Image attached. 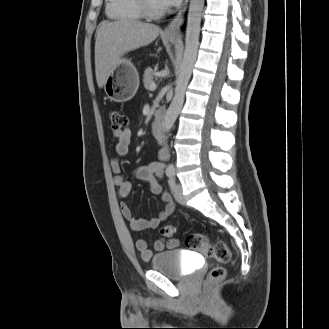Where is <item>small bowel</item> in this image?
Instances as JSON below:
<instances>
[{
  "label": "small bowel",
  "instance_id": "c3829d8e",
  "mask_svg": "<svg viewBox=\"0 0 329 329\" xmlns=\"http://www.w3.org/2000/svg\"><path fill=\"white\" fill-rule=\"evenodd\" d=\"M112 139L115 143V151L117 157H115L111 162V168L113 173L116 175L114 178V183L117 188V195L119 199L125 200L131 194L132 183L130 180L121 176V164L119 157L124 156L128 153L131 144V132L129 129L123 130L119 135L113 133ZM164 164L160 161H154L146 165L137 166L133 175L139 180L146 181L149 184L150 191L155 195H160L165 206L162 211L158 213L155 217L151 219H139L133 215L132 210L125 203H121L120 211L122 216L128 221L130 229L134 232L140 233L147 229L157 228L162 221H164L168 216H170L174 209L175 203L172 196L165 192L160 179L163 176ZM179 246V241L177 239H158L153 244V250L148 248L147 242L140 238L136 241L135 247L138 252H140L141 257L144 260H149L153 256V252H162L166 249H174Z\"/></svg>",
  "mask_w": 329,
  "mask_h": 329
}]
</instances>
